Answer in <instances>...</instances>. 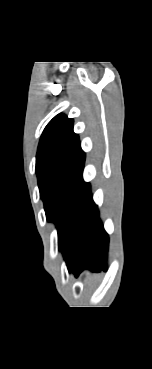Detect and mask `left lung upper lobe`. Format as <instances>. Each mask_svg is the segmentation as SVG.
Returning a JSON list of instances; mask_svg holds the SVG:
<instances>
[{
	"mask_svg": "<svg viewBox=\"0 0 152 369\" xmlns=\"http://www.w3.org/2000/svg\"><path fill=\"white\" fill-rule=\"evenodd\" d=\"M85 153L73 132V119L55 116L45 127L37 155L36 173L40 197L48 221L56 223L61 248L71 212L84 183Z\"/></svg>",
	"mask_w": 152,
	"mask_h": 369,
	"instance_id": "obj_1",
	"label": "left lung upper lobe"
}]
</instances>
